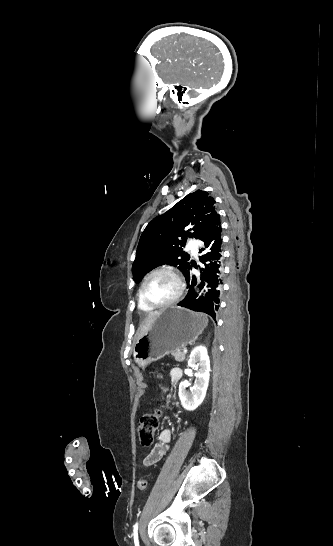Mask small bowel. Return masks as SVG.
I'll use <instances>...</instances> for the list:
<instances>
[{
  "label": "small bowel",
  "instance_id": "small-bowel-1",
  "mask_svg": "<svg viewBox=\"0 0 333 546\" xmlns=\"http://www.w3.org/2000/svg\"><path fill=\"white\" fill-rule=\"evenodd\" d=\"M182 375L181 369L173 368L169 374L171 384L176 385L181 380ZM172 435V431L169 428H164L160 431L157 443L143 460L145 466L154 465L166 454L170 449Z\"/></svg>",
  "mask_w": 333,
  "mask_h": 546
}]
</instances>
